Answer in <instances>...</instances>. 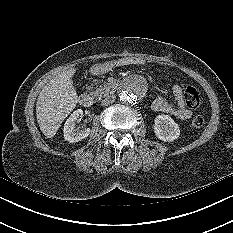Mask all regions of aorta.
<instances>
[{
    "mask_svg": "<svg viewBox=\"0 0 233 233\" xmlns=\"http://www.w3.org/2000/svg\"><path fill=\"white\" fill-rule=\"evenodd\" d=\"M146 93V85L139 78H130L122 86L119 93L120 101L124 104L139 102Z\"/></svg>",
    "mask_w": 233,
    "mask_h": 233,
    "instance_id": "obj_1",
    "label": "aorta"
}]
</instances>
